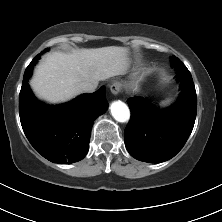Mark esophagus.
<instances>
[{"label":"esophagus","mask_w":222,"mask_h":222,"mask_svg":"<svg viewBox=\"0 0 222 222\" xmlns=\"http://www.w3.org/2000/svg\"><path fill=\"white\" fill-rule=\"evenodd\" d=\"M110 90L112 92V94L114 95H117L120 91H121V86L119 83H113L111 86H110Z\"/></svg>","instance_id":"esophagus-1"}]
</instances>
